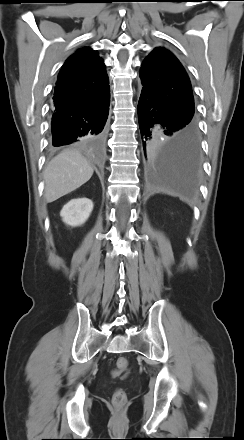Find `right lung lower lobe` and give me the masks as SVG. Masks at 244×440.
Returning a JSON list of instances; mask_svg holds the SVG:
<instances>
[{
	"label": "right lung lower lobe",
	"mask_w": 244,
	"mask_h": 440,
	"mask_svg": "<svg viewBox=\"0 0 244 440\" xmlns=\"http://www.w3.org/2000/svg\"><path fill=\"white\" fill-rule=\"evenodd\" d=\"M110 94L92 103L70 110H54L52 115V145L54 147L75 142L105 133L109 113Z\"/></svg>",
	"instance_id": "98d812e1"
}]
</instances>
